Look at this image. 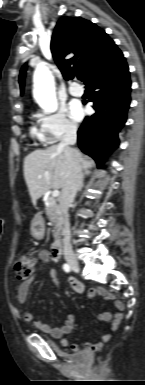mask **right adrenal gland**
I'll use <instances>...</instances> for the list:
<instances>
[{
	"label": "right adrenal gland",
	"mask_w": 145,
	"mask_h": 385,
	"mask_svg": "<svg viewBox=\"0 0 145 385\" xmlns=\"http://www.w3.org/2000/svg\"><path fill=\"white\" fill-rule=\"evenodd\" d=\"M84 179H85V176L82 175V178H81V182H80L78 191H80V190L83 188V186H84Z\"/></svg>",
	"instance_id": "right-adrenal-gland-1"
}]
</instances>
